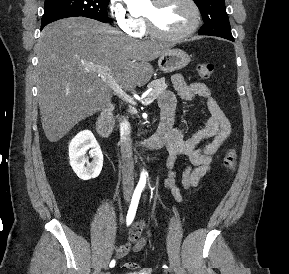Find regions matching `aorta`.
Segmentation results:
<instances>
[{
	"label": "aorta",
	"mask_w": 289,
	"mask_h": 274,
	"mask_svg": "<svg viewBox=\"0 0 289 274\" xmlns=\"http://www.w3.org/2000/svg\"><path fill=\"white\" fill-rule=\"evenodd\" d=\"M125 3L131 8H141L144 4L148 2V0H124ZM146 181V173L143 172L140 177V184H145Z\"/></svg>",
	"instance_id": "aorta-1"
}]
</instances>
